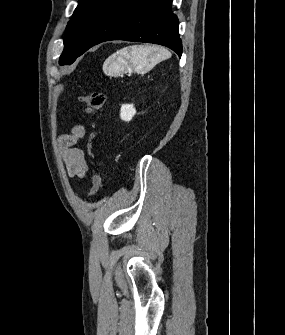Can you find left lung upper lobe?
Instances as JSON below:
<instances>
[{
	"label": "left lung upper lobe",
	"mask_w": 285,
	"mask_h": 335,
	"mask_svg": "<svg viewBox=\"0 0 285 335\" xmlns=\"http://www.w3.org/2000/svg\"><path fill=\"white\" fill-rule=\"evenodd\" d=\"M111 0H79L72 19L66 27L64 51L60 65L73 63L80 56L81 43L90 26Z\"/></svg>",
	"instance_id": "5c2ea615"
}]
</instances>
